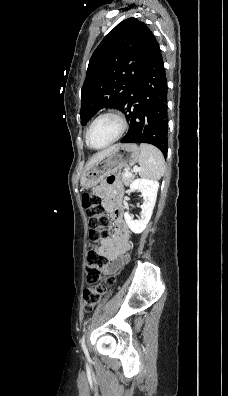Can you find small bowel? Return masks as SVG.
<instances>
[{"mask_svg": "<svg viewBox=\"0 0 228 396\" xmlns=\"http://www.w3.org/2000/svg\"><path fill=\"white\" fill-rule=\"evenodd\" d=\"M95 192L104 199L107 209H113L116 234L113 239L102 240L100 253L108 260L114 261L130 251V232L119 206L121 187L118 184V179L114 176L109 177L106 183L95 188Z\"/></svg>", "mask_w": 228, "mask_h": 396, "instance_id": "c3829d8e", "label": "small bowel"}]
</instances>
